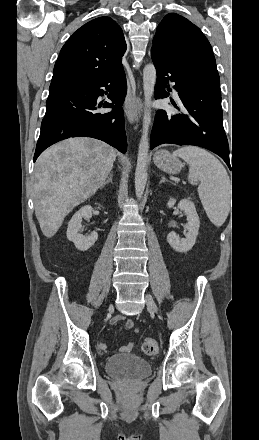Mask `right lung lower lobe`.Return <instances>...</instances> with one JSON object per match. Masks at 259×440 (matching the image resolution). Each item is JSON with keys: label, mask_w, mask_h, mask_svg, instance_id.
Instances as JSON below:
<instances>
[{"label": "right lung lower lobe", "mask_w": 259, "mask_h": 440, "mask_svg": "<svg viewBox=\"0 0 259 440\" xmlns=\"http://www.w3.org/2000/svg\"><path fill=\"white\" fill-rule=\"evenodd\" d=\"M102 87L110 92L108 97L115 105L108 102L97 104V98L104 94ZM126 92L123 67L100 79L50 88L34 162L52 144L79 136L100 139L125 153L127 141L120 106ZM100 107L114 109L99 113L97 110Z\"/></svg>", "instance_id": "right-lung-lower-lobe-1"}]
</instances>
